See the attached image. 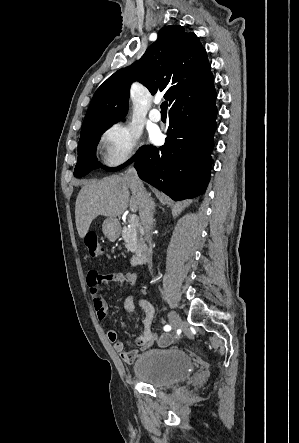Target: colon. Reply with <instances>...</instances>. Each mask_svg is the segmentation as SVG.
<instances>
[{
	"instance_id": "1",
	"label": "colon",
	"mask_w": 299,
	"mask_h": 443,
	"mask_svg": "<svg viewBox=\"0 0 299 443\" xmlns=\"http://www.w3.org/2000/svg\"><path fill=\"white\" fill-rule=\"evenodd\" d=\"M84 243L91 257H98L103 253L98 236L94 232H88L84 237Z\"/></svg>"
}]
</instances>
